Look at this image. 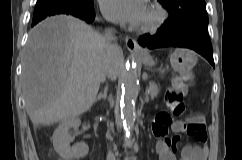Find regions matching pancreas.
Segmentation results:
<instances>
[{
  "label": "pancreas",
  "instance_id": "obj_1",
  "mask_svg": "<svg viewBox=\"0 0 242 160\" xmlns=\"http://www.w3.org/2000/svg\"><path fill=\"white\" fill-rule=\"evenodd\" d=\"M149 91H150L151 98L152 99L155 98L158 95V93H159L158 85L155 84V83H150L149 84Z\"/></svg>",
  "mask_w": 242,
  "mask_h": 160
}]
</instances>
